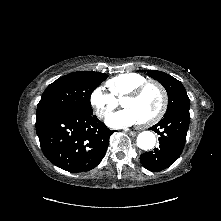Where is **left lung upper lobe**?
<instances>
[{
    "instance_id": "obj_1",
    "label": "left lung upper lobe",
    "mask_w": 221,
    "mask_h": 221,
    "mask_svg": "<svg viewBox=\"0 0 221 221\" xmlns=\"http://www.w3.org/2000/svg\"><path fill=\"white\" fill-rule=\"evenodd\" d=\"M147 75L159 81L166 89L168 94V107L166 113L178 109H190V99L179 80L169 74L156 70H149Z\"/></svg>"
}]
</instances>
